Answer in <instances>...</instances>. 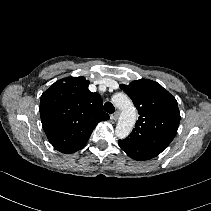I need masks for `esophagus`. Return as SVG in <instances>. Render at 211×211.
<instances>
[{"label":"esophagus","mask_w":211,"mask_h":211,"mask_svg":"<svg viewBox=\"0 0 211 211\" xmlns=\"http://www.w3.org/2000/svg\"><path fill=\"white\" fill-rule=\"evenodd\" d=\"M120 115V111H116L114 114L111 115L112 120H117Z\"/></svg>","instance_id":"1"}]
</instances>
